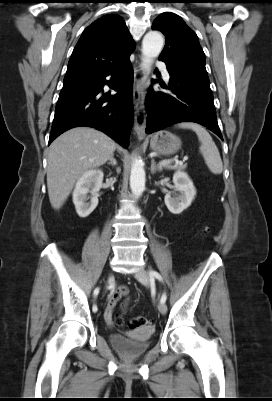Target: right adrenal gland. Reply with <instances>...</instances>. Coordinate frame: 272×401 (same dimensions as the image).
Here are the masks:
<instances>
[{
	"instance_id": "2a0ac1e0",
	"label": "right adrenal gland",
	"mask_w": 272,
	"mask_h": 401,
	"mask_svg": "<svg viewBox=\"0 0 272 401\" xmlns=\"http://www.w3.org/2000/svg\"><path fill=\"white\" fill-rule=\"evenodd\" d=\"M108 165H112V166H116L117 165V161L114 158V155H112L109 159V162L107 163Z\"/></svg>"
}]
</instances>
